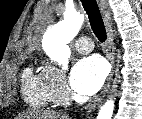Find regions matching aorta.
I'll return each mask as SVG.
<instances>
[{
  "instance_id": "1",
  "label": "aorta",
  "mask_w": 142,
  "mask_h": 119,
  "mask_svg": "<svg viewBox=\"0 0 142 119\" xmlns=\"http://www.w3.org/2000/svg\"><path fill=\"white\" fill-rule=\"evenodd\" d=\"M83 14L75 10H67L64 19L50 28L43 36L42 47L46 55L62 66L63 70L68 69V60L71 55L68 43L78 34L84 23ZM114 101L107 100L101 107L97 119H112Z\"/></svg>"
}]
</instances>
